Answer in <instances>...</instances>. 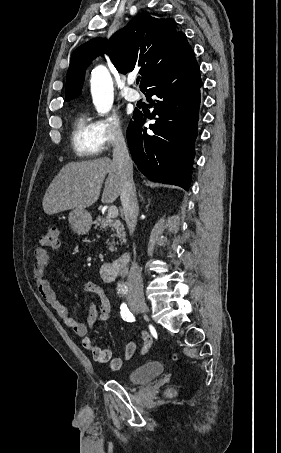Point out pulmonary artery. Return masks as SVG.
<instances>
[{
  "label": "pulmonary artery",
  "instance_id": "e3ab8cb5",
  "mask_svg": "<svg viewBox=\"0 0 281 453\" xmlns=\"http://www.w3.org/2000/svg\"><path fill=\"white\" fill-rule=\"evenodd\" d=\"M133 82H134V77H129V79H128L129 85L123 90L122 94H123L124 98L128 101H139L142 98V96L136 89L130 87V85Z\"/></svg>",
  "mask_w": 281,
  "mask_h": 453
}]
</instances>
